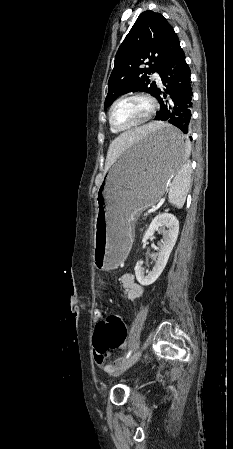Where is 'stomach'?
<instances>
[{
    "label": "stomach",
    "mask_w": 233,
    "mask_h": 449,
    "mask_svg": "<svg viewBox=\"0 0 233 449\" xmlns=\"http://www.w3.org/2000/svg\"><path fill=\"white\" fill-rule=\"evenodd\" d=\"M188 157L187 137L162 123L133 143L108 172L98 193L94 262L99 270L118 267L133 239V224L164 195Z\"/></svg>",
    "instance_id": "obj_1"
}]
</instances>
